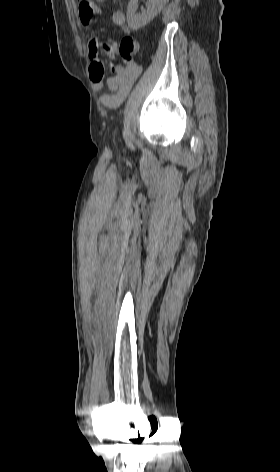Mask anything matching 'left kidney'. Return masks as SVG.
<instances>
[{
    "label": "left kidney",
    "mask_w": 280,
    "mask_h": 472,
    "mask_svg": "<svg viewBox=\"0 0 280 472\" xmlns=\"http://www.w3.org/2000/svg\"><path fill=\"white\" fill-rule=\"evenodd\" d=\"M168 0H148L147 9L137 15L138 0H130L127 8V22L131 29L137 30L149 23Z\"/></svg>",
    "instance_id": "obj_1"
}]
</instances>
